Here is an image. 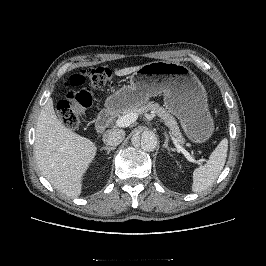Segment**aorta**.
Listing matches in <instances>:
<instances>
[{"mask_svg": "<svg viewBox=\"0 0 266 266\" xmlns=\"http://www.w3.org/2000/svg\"><path fill=\"white\" fill-rule=\"evenodd\" d=\"M133 144L139 145L143 151L151 152L157 147V136L154 132L145 130L139 136H134Z\"/></svg>", "mask_w": 266, "mask_h": 266, "instance_id": "1", "label": "aorta"}]
</instances>
